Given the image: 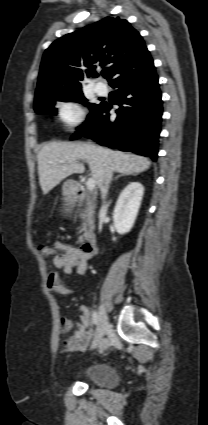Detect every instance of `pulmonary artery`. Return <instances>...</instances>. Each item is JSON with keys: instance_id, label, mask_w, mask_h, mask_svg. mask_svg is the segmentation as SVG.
<instances>
[{"instance_id": "obj_1", "label": "pulmonary artery", "mask_w": 208, "mask_h": 425, "mask_svg": "<svg viewBox=\"0 0 208 425\" xmlns=\"http://www.w3.org/2000/svg\"><path fill=\"white\" fill-rule=\"evenodd\" d=\"M94 89H95L96 93L99 94V95H106L107 92H108L107 86L103 83H96L94 85Z\"/></svg>"}]
</instances>
